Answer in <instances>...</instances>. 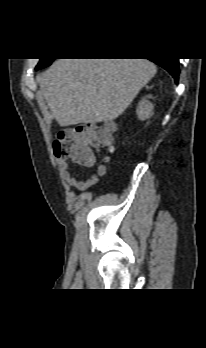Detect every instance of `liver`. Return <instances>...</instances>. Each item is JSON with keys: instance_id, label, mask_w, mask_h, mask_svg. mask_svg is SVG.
Listing matches in <instances>:
<instances>
[{"instance_id": "6515ba94", "label": "liver", "mask_w": 206, "mask_h": 348, "mask_svg": "<svg viewBox=\"0 0 206 348\" xmlns=\"http://www.w3.org/2000/svg\"><path fill=\"white\" fill-rule=\"evenodd\" d=\"M156 73L148 59H57L40 93L60 126L112 121Z\"/></svg>"}]
</instances>
